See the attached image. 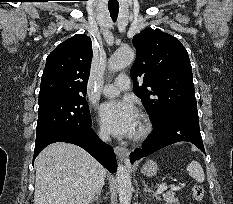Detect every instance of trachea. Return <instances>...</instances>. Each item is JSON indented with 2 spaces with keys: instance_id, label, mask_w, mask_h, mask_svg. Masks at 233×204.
<instances>
[{
  "instance_id": "trachea-1",
  "label": "trachea",
  "mask_w": 233,
  "mask_h": 204,
  "mask_svg": "<svg viewBox=\"0 0 233 204\" xmlns=\"http://www.w3.org/2000/svg\"><path fill=\"white\" fill-rule=\"evenodd\" d=\"M108 9H109L112 20L116 21L118 17V12H119V5H109Z\"/></svg>"
}]
</instances>
